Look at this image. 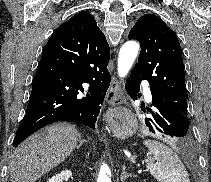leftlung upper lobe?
<instances>
[{
    "label": "left lung upper lobe",
    "mask_w": 211,
    "mask_h": 182,
    "mask_svg": "<svg viewBox=\"0 0 211 182\" xmlns=\"http://www.w3.org/2000/svg\"><path fill=\"white\" fill-rule=\"evenodd\" d=\"M128 37L141 45L133 70L148 80L155 95L187 116L182 50L175 33L159 17L146 14L138 19Z\"/></svg>",
    "instance_id": "5c2ea615"
}]
</instances>
